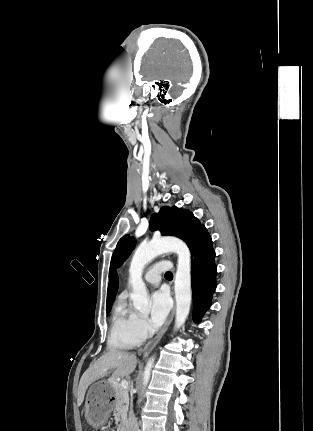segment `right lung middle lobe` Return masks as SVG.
Listing matches in <instances>:
<instances>
[{
    "label": "right lung middle lobe",
    "mask_w": 313,
    "mask_h": 431,
    "mask_svg": "<svg viewBox=\"0 0 313 431\" xmlns=\"http://www.w3.org/2000/svg\"><path fill=\"white\" fill-rule=\"evenodd\" d=\"M111 310V306L106 308V312L108 313Z\"/></svg>",
    "instance_id": "dd1d6c3e"
}]
</instances>
